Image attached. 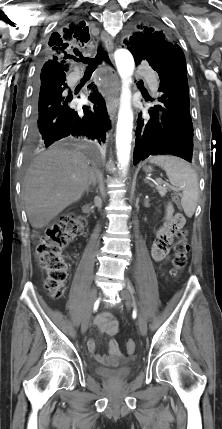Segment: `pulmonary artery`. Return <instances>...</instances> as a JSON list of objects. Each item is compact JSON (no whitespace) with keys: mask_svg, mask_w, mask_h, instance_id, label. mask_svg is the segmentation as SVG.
Here are the masks:
<instances>
[{"mask_svg":"<svg viewBox=\"0 0 222 429\" xmlns=\"http://www.w3.org/2000/svg\"><path fill=\"white\" fill-rule=\"evenodd\" d=\"M144 72H145V77L147 79V83H148L150 90L155 93L157 91V88H158V81H157L155 75L152 74L150 71H148L145 68H144ZM76 76L78 77L79 73H76Z\"/></svg>","mask_w":222,"mask_h":429,"instance_id":"1","label":"pulmonary artery"}]
</instances>
